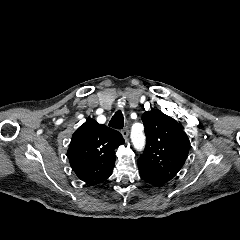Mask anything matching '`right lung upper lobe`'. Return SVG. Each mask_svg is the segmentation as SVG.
Segmentation results:
<instances>
[{
	"mask_svg": "<svg viewBox=\"0 0 240 240\" xmlns=\"http://www.w3.org/2000/svg\"><path fill=\"white\" fill-rule=\"evenodd\" d=\"M123 143L118 131L88 119L72 136L67 153L70 165L80 180L99 184L111 175L114 150Z\"/></svg>",
	"mask_w": 240,
	"mask_h": 240,
	"instance_id": "1",
	"label": "right lung upper lobe"
}]
</instances>
